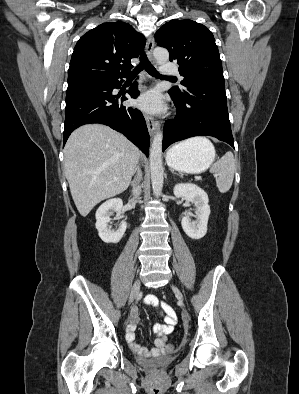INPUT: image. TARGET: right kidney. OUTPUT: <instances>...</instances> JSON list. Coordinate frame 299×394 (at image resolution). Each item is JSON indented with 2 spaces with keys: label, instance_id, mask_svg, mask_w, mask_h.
<instances>
[{
  "label": "right kidney",
  "instance_id": "right-kidney-1",
  "mask_svg": "<svg viewBox=\"0 0 299 394\" xmlns=\"http://www.w3.org/2000/svg\"><path fill=\"white\" fill-rule=\"evenodd\" d=\"M122 207L123 201L119 198H113L101 204L97 209L95 226L103 242L118 243L122 239L127 228V223L122 221L116 230H111L109 226L111 223L110 216L116 212L117 217H119Z\"/></svg>",
  "mask_w": 299,
  "mask_h": 394
}]
</instances>
